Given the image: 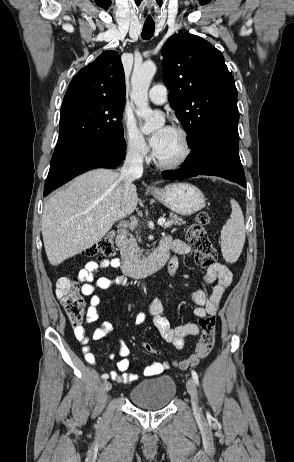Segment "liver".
I'll return each mask as SVG.
<instances>
[{"label":"liver","instance_id":"liver-1","mask_svg":"<svg viewBox=\"0 0 294 462\" xmlns=\"http://www.w3.org/2000/svg\"><path fill=\"white\" fill-rule=\"evenodd\" d=\"M118 172L94 169L73 180L45 203L42 236L47 258L56 266L90 248L137 207L132 184L126 200ZM124 201V207H122Z\"/></svg>","mask_w":294,"mask_h":462}]
</instances>
